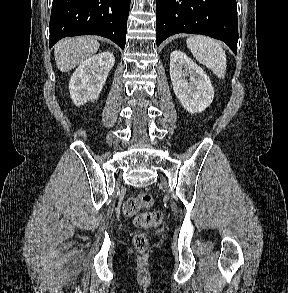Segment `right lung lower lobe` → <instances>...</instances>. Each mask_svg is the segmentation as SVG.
I'll return each instance as SVG.
<instances>
[{"mask_svg": "<svg viewBox=\"0 0 288 293\" xmlns=\"http://www.w3.org/2000/svg\"><path fill=\"white\" fill-rule=\"evenodd\" d=\"M131 0H53L50 47L66 36L99 35L124 49Z\"/></svg>", "mask_w": 288, "mask_h": 293, "instance_id": "obj_1", "label": "right lung lower lobe"}]
</instances>
